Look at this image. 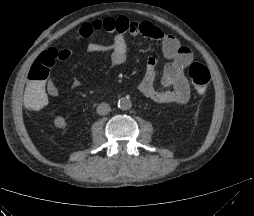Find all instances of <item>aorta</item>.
Masks as SVG:
<instances>
[{"label":"aorta","instance_id":"762f6f07","mask_svg":"<svg viewBox=\"0 0 254 216\" xmlns=\"http://www.w3.org/2000/svg\"><path fill=\"white\" fill-rule=\"evenodd\" d=\"M132 106V103L129 99L127 98H121L118 101V107L119 109L125 111V110H129Z\"/></svg>","mask_w":254,"mask_h":216}]
</instances>
